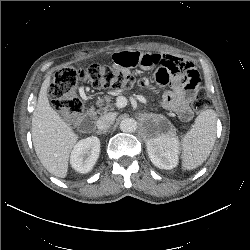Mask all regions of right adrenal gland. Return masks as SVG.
<instances>
[{
	"label": "right adrenal gland",
	"mask_w": 250,
	"mask_h": 250,
	"mask_svg": "<svg viewBox=\"0 0 250 250\" xmlns=\"http://www.w3.org/2000/svg\"><path fill=\"white\" fill-rule=\"evenodd\" d=\"M96 133L101 135V134H106V131H103V132L102 131H97Z\"/></svg>",
	"instance_id": "right-adrenal-gland-1"
}]
</instances>
